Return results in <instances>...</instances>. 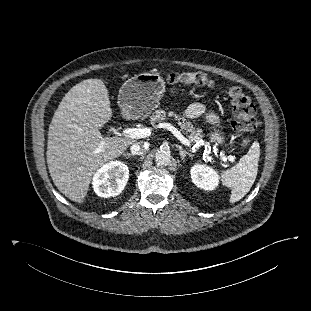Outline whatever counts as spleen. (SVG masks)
I'll use <instances>...</instances> for the list:
<instances>
[{
  "instance_id": "1",
  "label": "spleen",
  "mask_w": 311,
  "mask_h": 311,
  "mask_svg": "<svg viewBox=\"0 0 311 311\" xmlns=\"http://www.w3.org/2000/svg\"><path fill=\"white\" fill-rule=\"evenodd\" d=\"M259 157L260 146L254 141L238 164L221 173L222 183L231 188V203L239 201L250 191L257 176Z\"/></svg>"
}]
</instances>
